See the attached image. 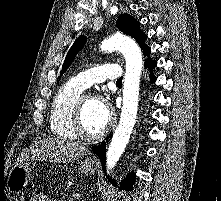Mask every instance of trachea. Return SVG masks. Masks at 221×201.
<instances>
[{"label": "trachea", "mask_w": 221, "mask_h": 201, "mask_svg": "<svg viewBox=\"0 0 221 201\" xmlns=\"http://www.w3.org/2000/svg\"><path fill=\"white\" fill-rule=\"evenodd\" d=\"M117 84H122V78L117 80Z\"/></svg>", "instance_id": "trachea-1"}]
</instances>
